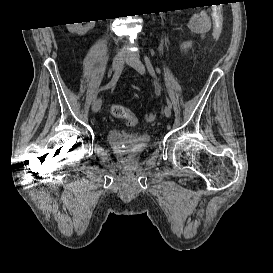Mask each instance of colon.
<instances>
[{"label":"colon","instance_id":"obj_1","mask_svg":"<svg viewBox=\"0 0 273 273\" xmlns=\"http://www.w3.org/2000/svg\"><path fill=\"white\" fill-rule=\"evenodd\" d=\"M221 34H222V24L219 21L218 17L215 16L214 27H213V38L215 40H218ZM110 111L115 118L124 120L128 126H135L138 122L135 114L121 104H113L111 106ZM149 118L152 119L153 114H151Z\"/></svg>","mask_w":273,"mask_h":273}]
</instances>
